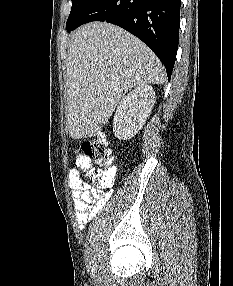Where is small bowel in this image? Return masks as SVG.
<instances>
[{
  "label": "small bowel",
  "mask_w": 233,
  "mask_h": 286,
  "mask_svg": "<svg viewBox=\"0 0 233 286\" xmlns=\"http://www.w3.org/2000/svg\"><path fill=\"white\" fill-rule=\"evenodd\" d=\"M92 168V162L85 156L79 155L76 158V167L71 168L68 172L75 218L81 229L106 205L110 198L109 191L92 187L88 180L83 178L82 172L88 176V172ZM113 170L116 173L115 167Z\"/></svg>",
  "instance_id": "small-bowel-1"
}]
</instances>
